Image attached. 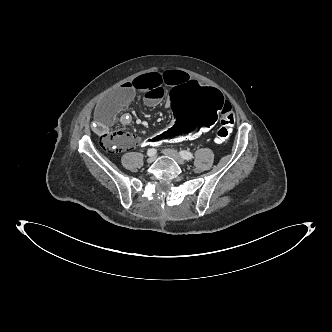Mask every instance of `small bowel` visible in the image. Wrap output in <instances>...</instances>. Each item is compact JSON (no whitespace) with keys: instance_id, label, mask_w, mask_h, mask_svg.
<instances>
[{"instance_id":"small-bowel-1","label":"small bowel","mask_w":332,"mask_h":332,"mask_svg":"<svg viewBox=\"0 0 332 332\" xmlns=\"http://www.w3.org/2000/svg\"><path fill=\"white\" fill-rule=\"evenodd\" d=\"M187 82L199 81L192 79L187 73L175 69H168L163 72L153 71L139 75L123 84L97 104L94 112L95 120L99 125L107 126L116 113L130 102L137 92L144 93V101L147 106H156L167 96V89L179 87ZM120 121L123 125L131 123V119L128 116H122ZM149 137L145 138V140H148ZM121 139L125 147H130L134 143L139 142V139L128 133H121ZM164 142L167 141H162V143ZM161 144H155L154 146Z\"/></svg>"}]
</instances>
